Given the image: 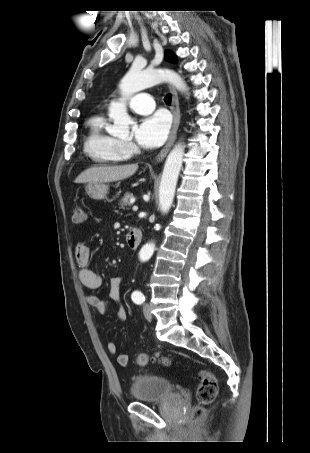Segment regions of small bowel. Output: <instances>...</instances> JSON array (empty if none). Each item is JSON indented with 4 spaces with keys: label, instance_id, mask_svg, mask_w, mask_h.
<instances>
[{
    "label": "small bowel",
    "instance_id": "c3829d8e",
    "mask_svg": "<svg viewBox=\"0 0 310 453\" xmlns=\"http://www.w3.org/2000/svg\"><path fill=\"white\" fill-rule=\"evenodd\" d=\"M75 258L78 265V280L88 289L95 290L100 288L102 278L94 270L89 268L90 249L86 244L80 243L75 247ZM123 283V277L115 276L109 279L108 296L109 301H103L96 294H88L86 296L87 303L100 314H106L111 304L116 306V317L124 321L127 318V311L121 302L120 289ZM107 351L111 355L117 353V346L113 342L107 344ZM117 362L120 366L126 367L129 365V356L125 353L117 355Z\"/></svg>",
    "mask_w": 310,
    "mask_h": 453
}]
</instances>
